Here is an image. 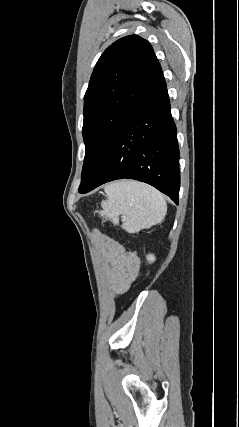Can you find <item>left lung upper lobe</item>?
<instances>
[{
    "label": "left lung upper lobe",
    "instance_id": "obj_1",
    "mask_svg": "<svg viewBox=\"0 0 239 427\" xmlns=\"http://www.w3.org/2000/svg\"><path fill=\"white\" fill-rule=\"evenodd\" d=\"M164 83L161 66L147 40L129 35L103 52L84 96L86 151L79 192L91 183L121 127Z\"/></svg>",
    "mask_w": 239,
    "mask_h": 427
}]
</instances>
